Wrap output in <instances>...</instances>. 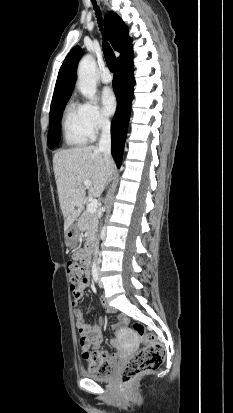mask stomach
<instances>
[{
	"mask_svg": "<svg viewBox=\"0 0 233 413\" xmlns=\"http://www.w3.org/2000/svg\"><path fill=\"white\" fill-rule=\"evenodd\" d=\"M80 236V229L77 224H72L65 233V241L68 247L77 245Z\"/></svg>",
	"mask_w": 233,
	"mask_h": 413,
	"instance_id": "obj_1",
	"label": "stomach"
}]
</instances>
